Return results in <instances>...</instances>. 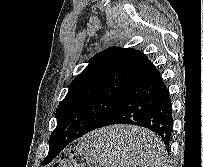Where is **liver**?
<instances>
[{"label":"liver","mask_w":203,"mask_h":167,"mask_svg":"<svg viewBox=\"0 0 203 167\" xmlns=\"http://www.w3.org/2000/svg\"><path fill=\"white\" fill-rule=\"evenodd\" d=\"M114 141V154L118 160L134 165L142 157V147L152 134L143 128L134 126H114L104 129Z\"/></svg>","instance_id":"6515ba94"}]
</instances>
